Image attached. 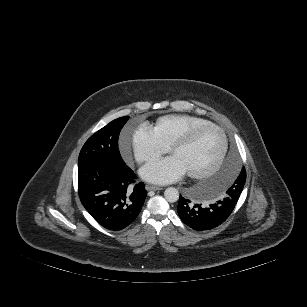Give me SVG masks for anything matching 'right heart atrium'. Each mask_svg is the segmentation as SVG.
Masks as SVG:
<instances>
[{"mask_svg":"<svg viewBox=\"0 0 307 307\" xmlns=\"http://www.w3.org/2000/svg\"><path fill=\"white\" fill-rule=\"evenodd\" d=\"M120 150L124 157L131 151L139 163L151 162L168 151L165 145L150 127L140 126L132 129L120 141Z\"/></svg>","mask_w":307,"mask_h":307,"instance_id":"d8ad5b80","label":"right heart atrium"}]
</instances>
